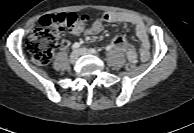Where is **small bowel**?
<instances>
[{
    "label": "small bowel",
    "instance_id": "c3829d8e",
    "mask_svg": "<svg viewBox=\"0 0 194 133\" xmlns=\"http://www.w3.org/2000/svg\"><path fill=\"white\" fill-rule=\"evenodd\" d=\"M103 22L131 24L133 25L136 36L139 39V47L137 49L129 44L123 35H117L113 38L107 49L126 52L128 62H146L149 59L150 41L147 27L138 15L117 11L105 12L90 25L87 32L92 35L98 34L103 29Z\"/></svg>",
    "mask_w": 194,
    "mask_h": 133
}]
</instances>
